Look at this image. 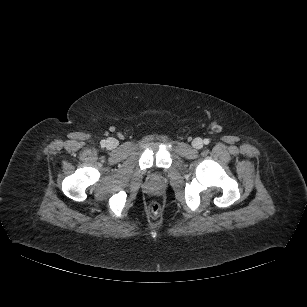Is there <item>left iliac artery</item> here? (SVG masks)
<instances>
[{"instance_id":"left-iliac-artery-1","label":"left iliac artery","mask_w":307,"mask_h":307,"mask_svg":"<svg viewBox=\"0 0 307 307\" xmlns=\"http://www.w3.org/2000/svg\"><path fill=\"white\" fill-rule=\"evenodd\" d=\"M209 139H204V144L208 145L209 144Z\"/></svg>"}]
</instances>
